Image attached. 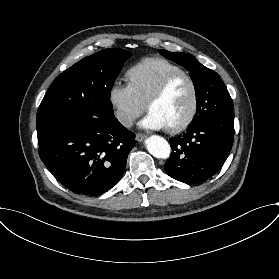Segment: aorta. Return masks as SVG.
I'll use <instances>...</instances> for the list:
<instances>
[{"instance_id": "obj_1", "label": "aorta", "mask_w": 279, "mask_h": 279, "mask_svg": "<svg viewBox=\"0 0 279 279\" xmlns=\"http://www.w3.org/2000/svg\"><path fill=\"white\" fill-rule=\"evenodd\" d=\"M146 147L148 152L161 159H167L171 153L170 144L161 136L152 135L146 140Z\"/></svg>"}]
</instances>
